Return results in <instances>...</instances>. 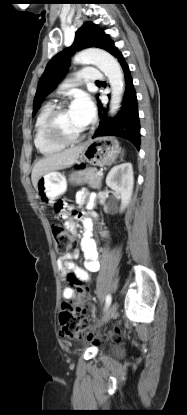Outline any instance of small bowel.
Returning <instances> with one entry per match:
<instances>
[{"label":"small bowel","mask_w":187,"mask_h":415,"mask_svg":"<svg viewBox=\"0 0 187 415\" xmlns=\"http://www.w3.org/2000/svg\"><path fill=\"white\" fill-rule=\"evenodd\" d=\"M79 200L84 202L87 200V194L85 190L79 192ZM86 228L91 227V218L89 216L83 217ZM66 227L75 232V224L73 221H67ZM81 249L84 253L85 264L84 268L78 267L74 260L78 258L80 251L73 250L58 259L59 274L65 278L69 274L75 275L78 279L84 283L89 282V273H93L99 270L98 252L94 240L87 233L81 241ZM62 296L65 299L77 300V293L73 287H65L62 290Z\"/></svg>","instance_id":"obj_1"}]
</instances>
